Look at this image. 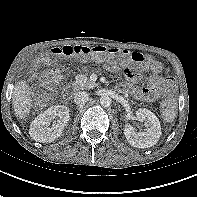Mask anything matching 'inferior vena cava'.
<instances>
[{
    "label": "inferior vena cava",
    "instance_id": "602c4592",
    "mask_svg": "<svg viewBox=\"0 0 197 197\" xmlns=\"http://www.w3.org/2000/svg\"><path fill=\"white\" fill-rule=\"evenodd\" d=\"M89 99V94L85 91H78L74 94V102L78 105L86 103Z\"/></svg>",
    "mask_w": 197,
    "mask_h": 197
}]
</instances>
